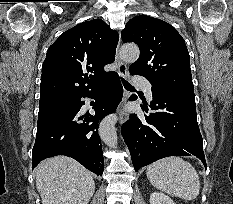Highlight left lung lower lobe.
Segmentation results:
<instances>
[{"mask_svg": "<svg viewBox=\"0 0 233 204\" xmlns=\"http://www.w3.org/2000/svg\"><path fill=\"white\" fill-rule=\"evenodd\" d=\"M153 113L130 115L122 135L131 153L135 171L168 156H196L207 168L192 95L153 92ZM132 95L130 100H136ZM142 106V105H141ZM145 111L147 106L143 105Z\"/></svg>", "mask_w": 233, "mask_h": 204, "instance_id": "left-lung-lower-lobe-1", "label": "left lung lower lobe"}]
</instances>
